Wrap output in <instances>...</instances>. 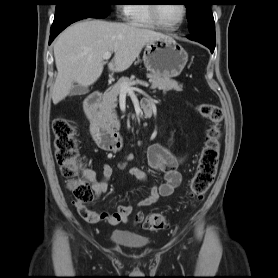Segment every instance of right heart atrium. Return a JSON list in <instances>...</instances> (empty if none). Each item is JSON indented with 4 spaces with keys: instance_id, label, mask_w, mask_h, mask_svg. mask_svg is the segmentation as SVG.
<instances>
[{
    "instance_id": "d8ad5b80",
    "label": "right heart atrium",
    "mask_w": 278,
    "mask_h": 278,
    "mask_svg": "<svg viewBox=\"0 0 278 278\" xmlns=\"http://www.w3.org/2000/svg\"><path fill=\"white\" fill-rule=\"evenodd\" d=\"M117 13L123 19L128 18V16H129V6L128 5H119V6H117Z\"/></svg>"
}]
</instances>
